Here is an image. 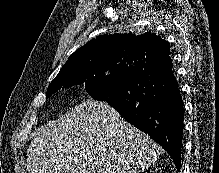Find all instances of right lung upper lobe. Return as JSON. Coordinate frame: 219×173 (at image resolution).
<instances>
[{
    "label": "right lung upper lobe",
    "mask_w": 219,
    "mask_h": 173,
    "mask_svg": "<svg viewBox=\"0 0 219 173\" xmlns=\"http://www.w3.org/2000/svg\"><path fill=\"white\" fill-rule=\"evenodd\" d=\"M169 47L167 41L149 32L144 35L116 33L98 36L77 49L68 58L56 78L67 72L87 73L116 62L130 63L135 67L146 61L163 62L170 59Z\"/></svg>",
    "instance_id": "obj_1"
}]
</instances>
